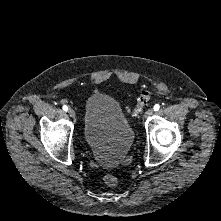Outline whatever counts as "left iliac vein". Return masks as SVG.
<instances>
[{"label": "left iliac vein", "instance_id": "4c4485c4", "mask_svg": "<svg viewBox=\"0 0 221 221\" xmlns=\"http://www.w3.org/2000/svg\"><path fill=\"white\" fill-rule=\"evenodd\" d=\"M153 109H148L146 112H145V117H150L151 115H153Z\"/></svg>", "mask_w": 221, "mask_h": 221}]
</instances>
